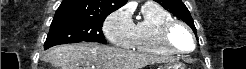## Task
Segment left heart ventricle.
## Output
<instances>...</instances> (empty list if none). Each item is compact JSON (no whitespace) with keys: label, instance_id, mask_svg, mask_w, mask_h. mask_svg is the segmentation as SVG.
<instances>
[{"label":"left heart ventricle","instance_id":"1","mask_svg":"<svg viewBox=\"0 0 246 69\" xmlns=\"http://www.w3.org/2000/svg\"><path fill=\"white\" fill-rule=\"evenodd\" d=\"M170 39L179 48H189L190 37L182 28H175L170 35Z\"/></svg>","mask_w":246,"mask_h":69}]
</instances>
